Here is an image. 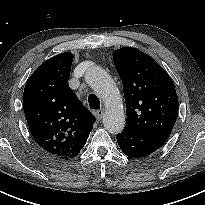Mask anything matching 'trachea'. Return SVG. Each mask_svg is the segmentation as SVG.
Listing matches in <instances>:
<instances>
[{"label":"trachea","instance_id":"1","mask_svg":"<svg viewBox=\"0 0 205 205\" xmlns=\"http://www.w3.org/2000/svg\"><path fill=\"white\" fill-rule=\"evenodd\" d=\"M89 106L91 109H99L100 108V101L98 97L94 94H90L88 97Z\"/></svg>","mask_w":205,"mask_h":205}]
</instances>
